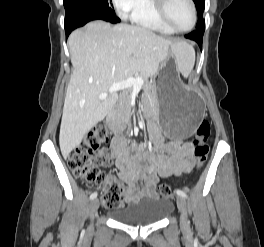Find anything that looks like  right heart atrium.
<instances>
[{"label":"right heart atrium","instance_id":"obj_1","mask_svg":"<svg viewBox=\"0 0 264 247\" xmlns=\"http://www.w3.org/2000/svg\"><path fill=\"white\" fill-rule=\"evenodd\" d=\"M113 3L119 15L125 18L135 8L138 0H113Z\"/></svg>","mask_w":264,"mask_h":247}]
</instances>
